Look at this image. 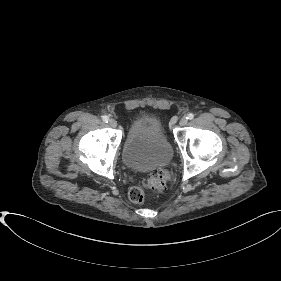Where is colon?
Segmentation results:
<instances>
[{
	"instance_id": "1",
	"label": "colon",
	"mask_w": 281,
	"mask_h": 281,
	"mask_svg": "<svg viewBox=\"0 0 281 281\" xmlns=\"http://www.w3.org/2000/svg\"><path fill=\"white\" fill-rule=\"evenodd\" d=\"M170 182V174L166 170H158L153 175L141 181L140 185H134L129 190V198L135 204H141L147 193L152 190L162 191Z\"/></svg>"
}]
</instances>
